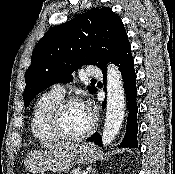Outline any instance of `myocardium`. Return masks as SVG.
Instances as JSON below:
<instances>
[{"mask_svg":"<svg viewBox=\"0 0 175 174\" xmlns=\"http://www.w3.org/2000/svg\"><path fill=\"white\" fill-rule=\"evenodd\" d=\"M83 104L84 102L82 99L75 97V96H70L66 98L60 99L50 110L48 114V128L50 132L58 139L62 141H80L88 137L95 129L96 126V120L92 117L91 124L90 126L82 133L77 134V135H69L63 132L60 126V117L63 112V110L71 105V104Z\"/></svg>","mask_w":175,"mask_h":174,"instance_id":"f54148a6","label":"myocardium"}]
</instances>
